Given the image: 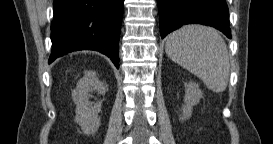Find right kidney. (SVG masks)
<instances>
[{
	"label": "right kidney",
	"mask_w": 273,
	"mask_h": 144,
	"mask_svg": "<svg viewBox=\"0 0 273 144\" xmlns=\"http://www.w3.org/2000/svg\"><path fill=\"white\" fill-rule=\"evenodd\" d=\"M101 88L103 85L99 83L96 73L88 71L72 92V98L76 105L75 121L85 134L95 133L101 124L98 116L99 110L90 108L88 103V91L92 89L99 91Z\"/></svg>",
	"instance_id": "obj_1"
}]
</instances>
